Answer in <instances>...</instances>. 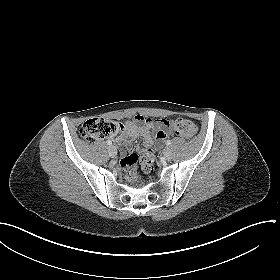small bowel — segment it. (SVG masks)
<instances>
[{
    "label": "small bowel",
    "instance_id": "1",
    "mask_svg": "<svg viewBox=\"0 0 280 280\" xmlns=\"http://www.w3.org/2000/svg\"><path fill=\"white\" fill-rule=\"evenodd\" d=\"M164 127H168V120L166 119L154 120L143 115H136L133 119L126 122L125 131L114 139L120 142L122 150L126 151L129 149L132 141L142 136L145 147L156 150L169 135L163 129ZM136 149L140 150V147L137 146Z\"/></svg>",
    "mask_w": 280,
    "mask_h": 280
}]
</instances>
